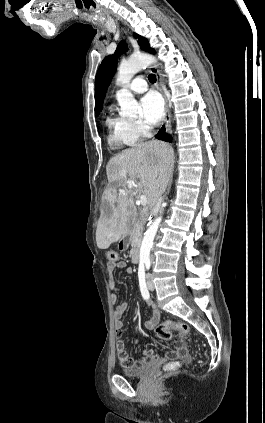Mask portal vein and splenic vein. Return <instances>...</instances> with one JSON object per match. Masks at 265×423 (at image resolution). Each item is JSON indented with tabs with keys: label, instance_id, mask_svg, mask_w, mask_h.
<instances>
[{
	"label": "portal vein and splenic vein",
	"instance_id": "obj_1",
	"mask_svg": "<svg viewBox=\"0 0 265 423\" xmlns=\"http://www.w3.org/2000/svg\"><path fill=\"white\" fill-rule=\"evenodd\" d=\"M133 186H136V184L133 181H129L127 183V188H132ZM139 204H141L142 206H146L147 205V198L145 195H140L139 196Z\"/></svg>",
	"mask_w": 265,
	"mask_h": 423
}]
</instances>
